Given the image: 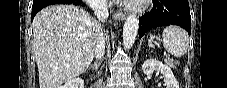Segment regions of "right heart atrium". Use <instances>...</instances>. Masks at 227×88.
Wrapping results in <instances>:
<instances>
[{
	"instance_id": "d8ad5b80",
	"label": "right heart atrium",
	"mask_w": 227,
	"mask_h": 88,
	"mask_svg": "<svg viewBox=\"0 0 227 88\" xmlns=\"http://www.w3.org/2000/svg\"><path fill=\"white\" fill-rule=\"evenodd\" d=\"M86 4L92 9H100L105 6V0H85Z\"/></svg>"
}]
</instances>
